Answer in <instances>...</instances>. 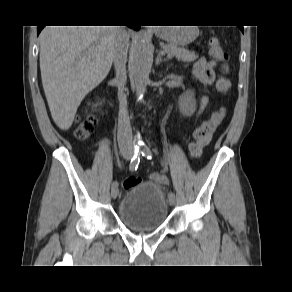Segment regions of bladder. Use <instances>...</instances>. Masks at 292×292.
<instances>
[{
  "instance_id": "obj_1",
  "label": "bladder",
  "mask_w": 292,
  "mask_h": 292,
  "mask_svg": "<svg viewBox=\"0 0 292 292\" xmlns=\"http://www.w3.org/2000/svg\"><path fill=\"white\" fill-rule=\"evenodd\" d=\"M168 204L160 186L155 182L128 188L118 204V218L130 231L152 232L168 217Z\"/></svg>"
}]
</instances>
